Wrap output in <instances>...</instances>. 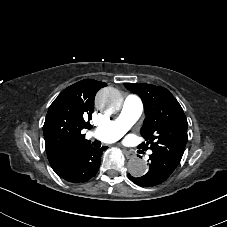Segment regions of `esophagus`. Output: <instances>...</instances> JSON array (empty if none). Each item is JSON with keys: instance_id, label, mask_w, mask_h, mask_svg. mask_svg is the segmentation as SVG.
Returning a JSON list of instances; mask_svg holds the SVG:
<instances>
[{"instance_id": "obj_1", "label": "esophagus", "mask_w": 227, "mask_h": 227, "mask_svg": "<svg viewBox=\"0 0 227 227\" xmlns=\"http://www.w3.org/2000/svg\"><path fill=\"white\" fill-rule=\"evenodd\" d=\"M123 153L125 154L127 159H131L136 156V154L134 152L128 151V150H123Z\"/></svg>"}]
</instances>
